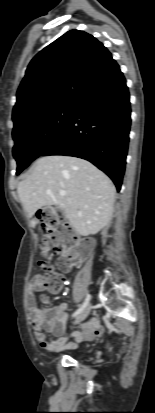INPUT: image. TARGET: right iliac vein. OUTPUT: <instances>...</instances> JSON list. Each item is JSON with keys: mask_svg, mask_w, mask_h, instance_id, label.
<instances>
[{"mask_svg": "<svg viewBox=\"0 0 155 413\" xmlns=\"http://www.w3.org/2000/svg\"><path fill=\"white\" fill-rule=\"evenodd\" d=\"M91 311V304H88L83 311L75 318L74 320V324H78L81 321H83L84 319H86V317L89 315Z\"/></svg>", "mask_w": 155, "mask_h": 413, "instance_id": "63e3f726", "label": "right iliac vein"}]
</instances>
